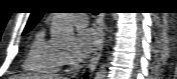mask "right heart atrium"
<instances>
[{
	"instance_id": "right-heart-atrium-1",
	"label": "right heart atrium",
	"mask_w": 177,
	"mask_h": 79,
	"mask_svg": "<svg viewBox=\"0 0 177 79\" xmlns=\"http://www.w3.org/2000/svg\"><path fill=\"white\" fill-rule=\"evenodd\" d=\"M60 63H61V66H69L70 65L71 58L68 53L61 52Z\"/></svg>"
}]
</instances>
